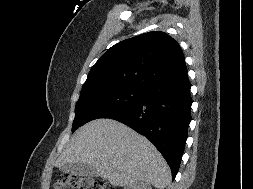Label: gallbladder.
Segmentation results:
<instances>
[{
  "instance_id": "1",
  "label": "gallbladder",
  "mask_w": 253,
  "mask_h": 189,
  "mask_svg": "<svg viewBox=\"0 0 253 189\" xmlns=\"http://www.w3.org/2000/svg\"><path fill=\"white\" fill-rule=\"evenodd\" d=\"M60 170L71 175H79L85 177L98 175L96 168L86 163H68L62 166Z\"/></svg>"
}]
</instances>
